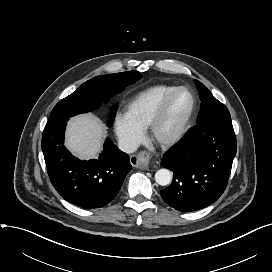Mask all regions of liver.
<instances>
[{"label": "liver", "mask_w": 272, "mask_h": 272, "mask_svg": "<svg viewBox=\"0 0 272 272\" xmlns=\"http://www.w3.org/2000/svg\"><path fill=\"white\" fill-rule=\"evenodd\" d=\"M105 128L92 114L73 117L66 132V146L81 159L95 158L102 149Z\"/></svg>", "instance_id": "6515ba94"}]
</instances>
